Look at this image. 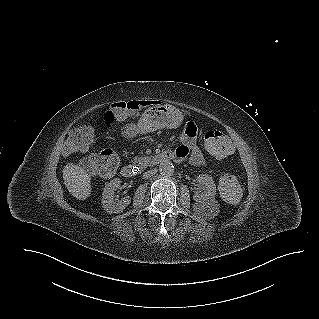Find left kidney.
<instances>
[{
    "label": "left kidney",
    "instance_id": "obj_1",
    "mask_svg": "<svg viewBox=\"0 0 319 319\" xmlns=\"http://www.w3.org/2000/svg\"><path fill=\"white\" fill-rule=\"evenodd\" d=\"M199 183L204 184V191H196L195 195L193 196L194 200L197 204L201 206H214L218 207L214 197L216 195V186L215 183L210 175L201 174L197 177ZM217 212V211H216Z\"/></svg>",
    "mask_w": 319,
    "mask_h": 319
}]
</instances>
